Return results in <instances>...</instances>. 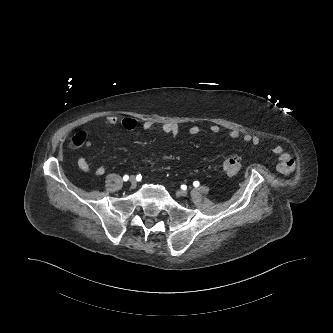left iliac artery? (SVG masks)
Masks as SVG:
<instances>
[{
	"mask_svg": "<svg viewBox=\"0 0 333 333\" xmlns=\"http://www.w3.org/2000/svg\"><path fill=\"white\" fill-rule=\"evenodd\" d=\"M193 185H194V187H198L200 185V183L198 181H194Z\"/></svg>",
	"mask_w": 333,
	"mask_h": 333,
	"instance_id": "44dca946",
	"label": "left iliac artery"
}]
</instances>
